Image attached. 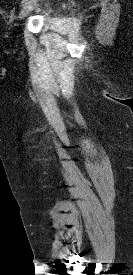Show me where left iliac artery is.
<instances>
[{
  "label": "left iliac artery",
  "instance_id": "obj_1",
  "mask_svg": "<svg viewBox=\"0 0 133 275\" xmlns=\"http://www.w3.org/2000/svg\"><path fill=\"white\" fill-rule=\"evenodd\" d=\"M27 2V0H22L21 4L24 5Z\"/></svg>",
  "mask_w": 133,
  "mask_h": 275
}]
</instances>
